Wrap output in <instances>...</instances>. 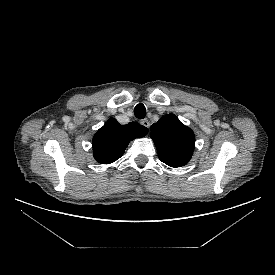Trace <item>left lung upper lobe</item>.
I'll list each match as a JSON object with an SVG mask.
<instances>
[{"mask_svg": "<svg viewBox=\"0 0 275 275\" xmlns=\"http://www.w3.org/2000/svg\"><path fill=\"white\" fill-rule=\"evenodd\" d=\"M151 138L159 159L171 167L186 165L194 150L193 131L174 114L165 115L151 126Z\"/></svg>", "mask_w": 275, "mask_h": 275, "instance_id": "left-lung-upper-lobe-1", "label": "left lung upper lobe"}]
</instances>
